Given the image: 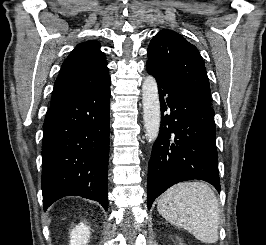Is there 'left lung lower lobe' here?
I'll return each mask as SVG.
<instances>
[{
	"label": "left lung lower lobe",
	"mask_w": 266,
	"mask_h": 245,
	"mask_svg": "<svg viewBox=\"0 0 266 245\" xmlns=\"http://www.w3.org/2000/svg\"><path fill=\"white\" fill-rule=\"evenodd\" d=\"M158 84L161 126L148 165V209L172 185L203 180L220 192L211 104L146 64Z\"/></svg>",
	"instance_id": "left-lung-lower-lobe-1"
}]
</instances>
